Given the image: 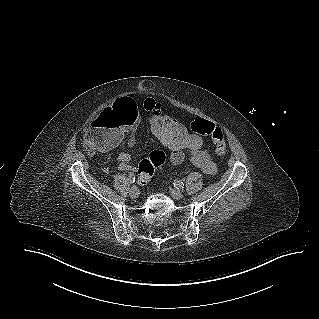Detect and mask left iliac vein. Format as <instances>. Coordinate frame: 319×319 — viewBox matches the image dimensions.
Wrapping results in <instances>:
<instances>
[{"mask_svg":"<svg viewBox=\"0 0 319 319\" xmlns=\"http://www.w3.org/2000/svg\"><path fill=\"white\" fill-rule=\"evenodd\" d=\"M170 194L176 200H181L183 198V193L177 189H170Z\"/></svg>","mask_w":319,"mask_h":319,"instance_id":"obj_1","label":"left iliac vein"}]
</instances>
